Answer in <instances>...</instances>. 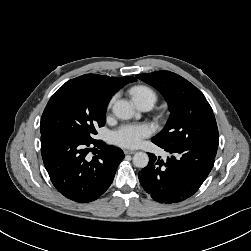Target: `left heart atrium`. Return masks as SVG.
I'll return each instance as SVG.
<instances>
[{"label":"left heart atrium","instance_id":"obj_1","mask_svg":"<svg viewBox=\"0 0 251 251\" xmlns=\"http://www.w3.org/2000/svg\"><path fill=\"white\" fill-rule=\"evenodd\" d=\"M151 134L146 124H127L119 127L113 133V140L122 147L134 148Z\"/></svg>","mask_w":251,"mask_h":251}]
</instances>
